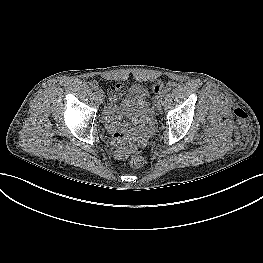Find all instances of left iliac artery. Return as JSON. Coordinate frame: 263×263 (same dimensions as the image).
Returning <instances> with one entry per match:
<instances>
[{"label": "left iliac artery", "mask_w": 263, "mask_h": 263, "mask_svg": "<svg viewBox=\"0 0 263 263\" xmlns=\"http://www.w3.org/2000/svg\"><path fill=\"white\" fill-rule=\"evenodd\" d=\"M158 95H159L160 97H163V96L165 95V92H164L163 90H160V91L158 92Z\"/></svg>", "instance_id": "1"}]
</instances>
